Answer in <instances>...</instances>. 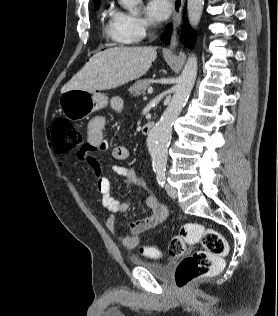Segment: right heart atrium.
<instances>
[{"label":"right heart atrium","mask_w":278,"mask_h":316,"mask_svg":"<svg viewBox=\"0 0 278 316\" xmlns=\"http://www.w3.org/2000/svg\"><path fill=\"white\" fill-rule=\"evenodd\" d=\"M114 19L119 33L129 43L141 41L151 28L147 19L119 9L114 11Z\"/></svg>","instance_id":"obj_1"}]
</instances>
